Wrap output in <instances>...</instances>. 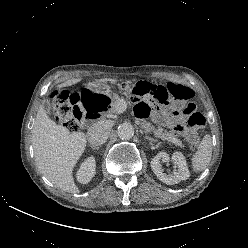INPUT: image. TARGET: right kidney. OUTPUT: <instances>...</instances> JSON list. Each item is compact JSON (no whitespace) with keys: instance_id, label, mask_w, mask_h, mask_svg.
I'll use <instances>...</instances> for the list:
<instances>
[{"instance_id":"obj_1","label":"right kidney","mask_w":248,"mask_h":248,"mask_svg":"<svg viewBox=\"0 0 248 248\" xmlns=\"http://www.w3.org/2000/svg\"><path fill=\"white\" fill-rule=\"evenodd\" d=\"M96 162L93 156L87 158L76 173L79 183L87 184L95 175Z\"/></svg>"}]
</instances>
